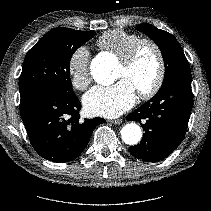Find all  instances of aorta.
Listing matches in <instances>:
<instances>
[{
  "mask_svg": "<svg viewBox=\"0 0 211 211\" xmlns=\"http://www.w3.org/2000/svg\"><path fill=\"white\" fill-rule=\"evenodd\" d=\"M91 73L94 80L102 85H110L115 80L111 65L100 63L97 59L91 65ZM121 137L126 144L136 145L141 140L142 131L135 123L126 124L121 129Z\"/></svg>",
  "mask_w": 211,
  "mask_h": 211,
  "instance_id": "1",
  "label": "aorta"
}]
</instances>
